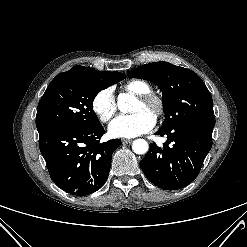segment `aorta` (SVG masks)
<instances>
[{
	"instance_id": "1",
	"label": "aorta",
	"mask_w": 247,
	"mask_h": 247,
	"mask_svg": "<svg viewBox=\"0 0 247 247\" xmlns=\"http://www.w3.org/2000/svg\"><path fill=\"white\" fill-rule=\"evenodd\" d=\"M132 99V96H130L129 94L123 93L118 96L117 105L122 113H127L131 111L130 103ZM132 149L136 154H145L149 149V145L146 140L137 139L133 142Z\"/></svg>"
}]
</instances>
